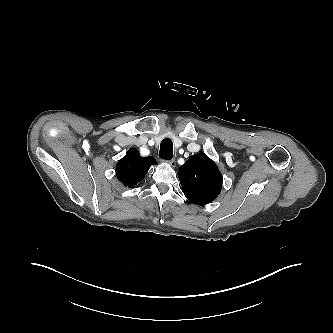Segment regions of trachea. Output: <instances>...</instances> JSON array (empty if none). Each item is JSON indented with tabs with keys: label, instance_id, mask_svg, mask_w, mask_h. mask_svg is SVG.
I'll return each instance as SVG.
<instances>
[{
	"label": "trachea",
	"instance_id": "obj_1",
	"mask_svg": "<svg viewBox=\"0 0 333 333\" xmlns=\"http://www.w3.org/2000/svg\"><path fill=\"white\" fill-rule=\"evenodd\" d=\"M173 155V143L169 138H165L160 144L159 157L165 160H171Z\"/></svg>",
	"mask_w": 333,
	"mask_h": 333
}]
</instances>
